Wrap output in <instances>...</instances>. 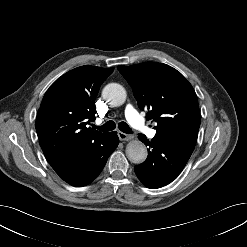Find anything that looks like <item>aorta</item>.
<instances>
[{"mask_svg":"<svg viewBox=\"0 0 247 247\" xmlns=\"http://www.w3.org/2000/svg\"><path fill=\"white\" fill-rule=\"evenodd\" d=\"M102 97L111 106H120L126 100V91L122 85L110 83L104 87ZM147 154L145 144L139 140L130 141L126 146L127 158L132 163L140 164L144 162Z\"/></svg>","mask_w":247,"mask_h":247,"instance_id":"obj_1","label":"aorta"}]
</instances>
